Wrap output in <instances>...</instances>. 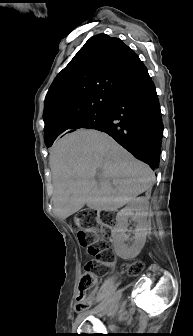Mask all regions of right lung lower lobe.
<instances>
[{
	"mask_svg": "<svg viewBox=\"0 0 193 336\" xmlns=\"http://www.w3.org/2000/svg\"><path fill=\"white\" fill-rule=\"evenodd\" d=\"M99 131L153 170L158 168L163 123L155 86L143 63L110 102L107 122Z\"/></svg>",
	"mask_w": 193,
	"mask_h": 336,
	"instance_id": "obj_1",
	"label": "right lung lower lobe"
}]
</instances>
